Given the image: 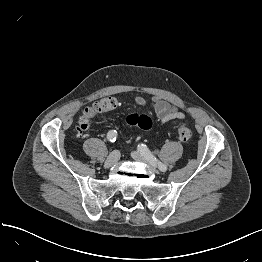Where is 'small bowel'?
I'll list each match as a JSON object with an SVG mask.
<instances>
[{
	"mask_svg": "<svg viewBox=\"0 0 262 262\" xmlns=\"http://www.w3.org/2000/svg\"><path fill=\"white\" fill-rule=\"evenodd\" d=\"M135 102L141 106H147L148 104L147 101L140 97H137ZM117 104L118 101L116 99L106 98L94 103L92 106L86 107L81 117L82 120H85L87 123L84 130L89 128L90 120H92L97 114L109 111ZM149 104L150 108L155 112L156 116L162 123L178 122L185 117L175 104H171L159 97L153 98Z\"/></svg>",
	"mask_w": 262,
	"mask_h": 262,
	"instance_id": "1",
	"label": "small bowel"
}]
</instances>
